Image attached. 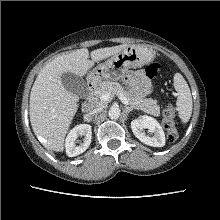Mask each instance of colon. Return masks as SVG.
Segmentation results:
<instances>
[{
	"label": "colon",
	"instance_id": "1",
	"mask_svg": "<svg viewBox=\"0 0 220 220\" xmlns=\"http://www.w3.org/2000/svg\"><path fill=\"white\" fill-rule=\"evenodd\" d=\"M158 66L157 64H150L146 69V74L148 77L153 78L158 74ZM162 124L167 132V140L169 142L176 141L178 137V131L176 128L175 122V109L172 107H168L163 112Z\"/></svg>",
	"mask_w": 220,
	"mask_h": 220
}]
</instances>
